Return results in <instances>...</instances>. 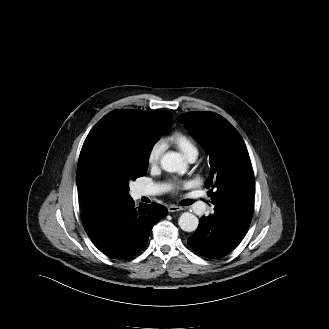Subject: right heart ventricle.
Listing matches in <instances>:
<instances>
[{
    "instance_id": "obj_1",
    "label": "right heart ventricle",
    "mask_w": 329,
    "mask_h": 329,
    "mask_svg": "<svg viewBox=\"0 0 329 329\" xmlns=\"http://www.w3.org/2000/svg\"><path fill=\"white\" fill-rule=\"evenodd\" d=\"M167 140L176 146L188 159L198 154V148L194 141L183 132H174Z\"/></svg>"
}]
</instances>
